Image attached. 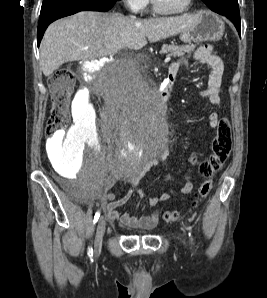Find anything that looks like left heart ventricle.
I'll list each match as a JSON object with an SVG mask.
<instances>
[{
	"mask_svg": "<svg viewBox=\"0 0 267 298\" xmlns=\"http://www.w3.org/2000/svg\"><path fill=\"white\" fill-rule=\"evenodd\" d=\"M160 7L166 11L176 12L183 9L187 0H157Z\"/></svg>",
	"mask_w": 267,
	"mask_h": 298,
	"instance_id": "1",
	"label": "left heart ventricle"
}]
</instances>
